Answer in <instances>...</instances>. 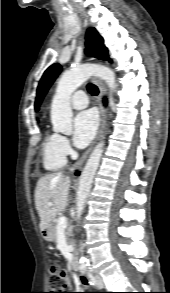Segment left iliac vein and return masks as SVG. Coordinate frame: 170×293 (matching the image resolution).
<instances>
[{"label": "left iliac vein", "instance_id": "obj_1", "mask_svg": "<svg viewBox=\"0 0 170 293\" xmlns=\"http://www.w3.org/2000/svg\"><path fill=\"white\" fill-rule=\"evenodd\" d=\"M95 277H96V281H97V287L98 288H103L104 287V282H103L102 277L99 274H96Z\"/></svg>", "mask_w": 170, "mask_h": 293}]
</instances>
